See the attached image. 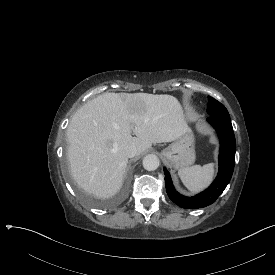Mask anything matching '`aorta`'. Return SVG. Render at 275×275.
I'll list each match as a JSON object with an SVG mask.
<instances>
[{"label": "aorta", "mask_w": 275, "mask_h": 275, "mask_svg": "<svg viewBox=\"0 0 275 275\" xmlns=\"http://www.w3.org/2000/svg\"><path fill=\"white\" fill-rule=\"evenodd\" d=\"M160 165V160L155 154H148L143 159V166L146 170H156Z\"/></svg>", "instance_id": "obj_1"}]
</instances>
